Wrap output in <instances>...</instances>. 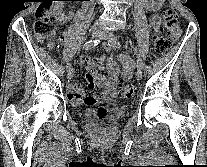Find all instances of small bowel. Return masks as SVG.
I'll return each mask as SVG.
<instances>
[{"mask_svg": "<svg viewBox=\"0 0 207 167\" xmlns=\"http://www.w3.org/2000/svg\"><path fill=\"white\" fill-rule=\"evenodd\" d=\"M155 2L160 3L161 0H155ZM151 26L155 31L160 30L161 18L159 15H153V17L151 18ZM63 40L64 36L60 38V41ZM120 60L124 67L123 78L129 79L134 69V64L132 60L127 56H121ZM86 63V78L93 94L87 96L85 94L84 88L80 84H69L67 86V98L74 106H78L81 104H94L102 96L112 97L115 95V90L118 81V66L115 60L111 56H108L106 58V70L109 74L108 78H106L99 71L96 58L87 57Z\"/></svg>", "mask_w": 207, "mask_h": 167, "instance_id": "small-bowel-1", "label": "small bowel"}]
</instances>
